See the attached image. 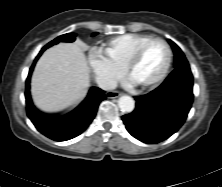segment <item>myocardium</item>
Masks as SVG:
<instances>
[{
    "label": "myocardium",
    "mask_w": 222,
    "mask_h": 187,
    "mask_svg": "<svg viewBox=\"0 0 222 187\" xmlns=\"http://www.w3.org/2000/svg\"><path fill=\"white\" fill-rule=\"evenodd\" d=\"M151 42H160L161 44H163L165 46V48L167 50V61H166L163 71L160 73V75L158 77H156L155 79L148 81V82L136 83L138 86L143 87V88H153V87L157 86L158 84H160L164 80V78L167 76L169 69L171 67V64H172V59H173V52H172L171 46L169 45V43L167 41H165L164 39L159 38V37H149V38L145 39L144 41H142L133 50V52L129 56L128 60L126 61L123 70H124L125 75L128 78L131 79V72H132L133 67L138 62L145 46Z\"/></svg>",
    "instance_id": "obj_1"
}]
</instances>
